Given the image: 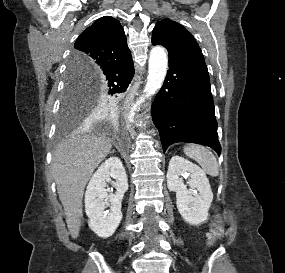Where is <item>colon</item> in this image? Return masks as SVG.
<instances>
[{
    "label": "colon",
    "instance_id": "5ec220e1",
    "mask_svg": "<svg viewBox=\"0 0 285 273\" xmlns=\"http://www.w3.org/2000/svg\"><path fill=\"white\" fill-rule=\"evenodd\" d=\"M224 233V219L221 215H216L210 229L208 245L213 246L216 240L220 239Z\"/></svg>",
    "mask_w": 285,
    "mask_h": 273
}]
</instances>
